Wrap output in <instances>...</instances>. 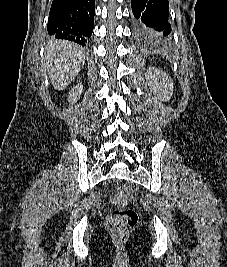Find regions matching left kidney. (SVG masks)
Listing matches in <instances>:
<instances>
[{
	"label": "left kidney",
	"instance_id": "left-kidney-1",
	"mask_svg": "<svg viewBox=\"0 0 227 267\" xmlns=\"http://www.w3.org/2000/svg\"><path fill=\"white\" fill-rule=\"evenodd\" d=\"M151 91L158 99L168 101L173 93V80L162 70L151 67L145 73Z\"/></svg>",
	"mask_w": 227,
	"mask_h": 267
}]
</instances>
